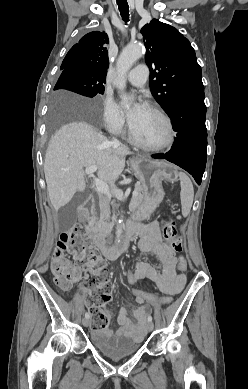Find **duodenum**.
Wrapping results in <instances>:
<instances>
[{"mask_svg":"<svg viewBox=\"0 0 248 389\" xmlns=\"http://www.w3.org/2000/svg\"><path fill=\"white\" fill-rule=\"evenodd\" d=\"M92 206V201L82 205L79 209V215L82 222H85L88 218L89 210ZM139 233L138 226L131 223L128 226L126 233L123 235L121 242L115 241L110 244L106 241L104 234H98L96 232L91 233V240L94 246L101 252V254L109 260H114L122 253L128 250L135 234Z\"/></svg>","mask_w":248,"mask_h":389,"instance_id":"1","label":"duodenum"}]
</instances>
